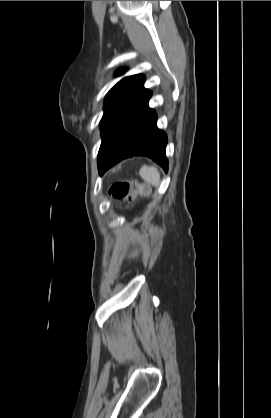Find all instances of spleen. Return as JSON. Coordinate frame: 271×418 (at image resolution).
I'll list each match as a JSON object with an SVG mask.
<instances>
[{
  "instance_id": "3e777b00",
  "label": "spleen",
  "mask_w": 271,
  "mask_h": 418,
  "mask_svg": "<svg viewBox=\"0 0 271 418\" xmlns=\"http://www.w3.org/2000/svg\"><path fill=\"white\" fill-rule=\"evenodd\" d=\"M139 174L145 182L153 186L157 187L160 183V173L154 166H142Z\"/></svg>"
}]
</instances>
